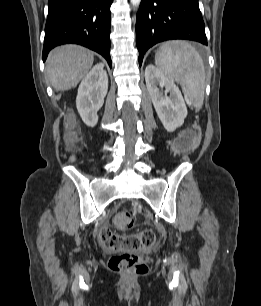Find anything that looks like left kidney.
I'll use <instances>...</instances> for the list:
<instances>
[{
	"mask_svg": "<svg viewBox=\"0 0 261 306\" xmlns=\"http://www.w3.org/2000/svg\"><path fill=\"white\" fill-rule=\"evenodd\" d=\"M145 81L152 103L164 128L168 132L175 131L183 125L187 116V107L181 91L154 65L146 67ZM158 86L165 87V91L162 92Z\"/></svg>",
	"mask_w": 261,
	"mask_h": 306,
	"instance_id": "1",
	"label": "left kidney"
}]
</instances>
